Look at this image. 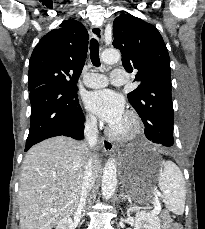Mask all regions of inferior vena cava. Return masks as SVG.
<instances>
[{"instance_id": "602c4592", "label": "inferior vena cava", "mask_w": 205, "mask_h": 229, "mask_svg": "<svg viewBox=\"0 0 205 229\" xmlns=\"http://www.w3.org/2000/svg\"><path fill=\"white\" fill-rule=\"evenodd\" d=\"M84 136L89 145V152L96 146L98 142V129H97V120L94 116L87 118L84 128ZM95 183V175L93 172V165L91 157L88 158L85 165V171L80 191V198L77 210L82 211L86 206L89 192L93 188Z\"/></svg>"}]
</instances>
